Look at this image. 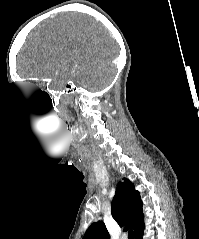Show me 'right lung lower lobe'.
Listing matches in <instances>:
<instances>
[{"mask_svg":"<svg viewBox=\"0 0 199 239\" xmlns=\"http://www.w3.org/2000/svg\"><path fill=\"white\" fill-rule=\"evenodd\" d=\"M143 230H144V222L138 227L137 230L134 231L135 239H143L142 238Z\"/></svg>","mask_w":199,"mask_h":239,"instance_id":"98d812e1","label":"right lung lower lobe"}]
</instances>
